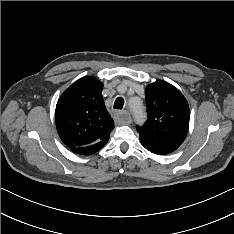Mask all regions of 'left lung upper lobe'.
<instances>
[{
    "label": "left lung upper lobe",
    "mask_w": 234,
    "mask_h": 234,
    "mask_svg": "<svg viewBox=\"0 0 234 234\" xmlns=\"http://www.w3.org/2000/svg\"><path fill=\"white\" fill-rule=\"evenodd\" d=\"M148 120L137 127L140 137L147 140L167 139L178 145L184 141L190 110L182 93L165 81H156L145 89Z\"/></svg>",
    "instance_id": "left-lung-upper-lobe-1"
}]
</instances>
